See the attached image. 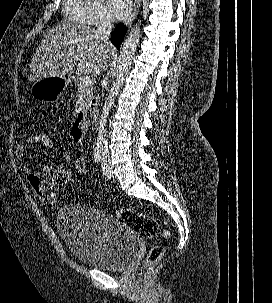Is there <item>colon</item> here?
I'll return each mask as SVG.
<instances>
[{
    "label": "colon",
    "mask_w": 272,
    "mask_h": 303,
    "mask_svg": "<svg viewBox=\"0 0 272 303\" xmlns=\"http://www.w3.org/2000/svg\"><path fill=\"white\" fill-rule=\"evenodd\" d=\"M37 135V146L44 150L52 151L56 147V139L49 132H40ZM76 171L85 176L87 174V162L83 157H77L74 162ZM47 207L53 208L57 204V197L52 192L41 193L38 195ZM116 215L118 219L128 227L132 228L136 233H138L143 238H153L157 235H161L164 238L169 237V232L162 229L159 222L153 216L145 213H141L131 209L117 210ZM164 254V248L161 245L153 246L145 260L143 267L145 269L156 264Z\"/></svg>",
    "instance_id": "obj_1"
}]
</instances>
